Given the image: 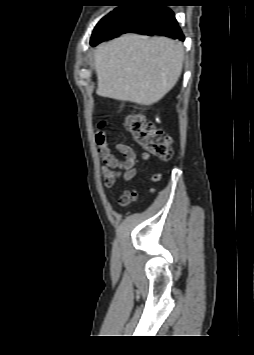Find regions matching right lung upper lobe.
Wrapping results in <instances>:
<instances>
[{
	"label": "right lung upper lobe",
	"mask_w": 254,
	"mask_h": 355,
	"mask_svg": "<svg viewBox=\"0 0 254 355\" xmlns=\"http://www.w3.org/2000/svg\"><path fill=\"white\" fill-rule=\"evenodd\" d=\"M113 1H121V3H133V2H137V1H141V0H113Z\"/></svg>",
	"instance_id": "obj_1"
}]
</instances>
